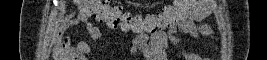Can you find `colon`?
<instances>
[{
    "mask_svg": "<svg viewBox=\"0 0 267 60\" xmlns=\"http://www.w3.org/2000/svg\"><path fill=\"white\" fill-rule=\"evenodd\" d=\"M190 0H176L160 13L148 16L132 15L104 0H78L80 14L105 23L123 32L149 35L176 27L188 11Z\"/></svg>",
    "mask_w": 267,
    "mask_h": 60,
    "instance_id": "5ec220e1",
    "label": "colon"
}]
</instances>
